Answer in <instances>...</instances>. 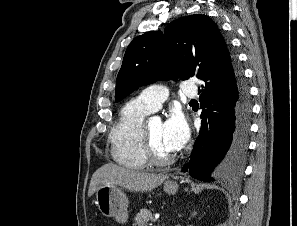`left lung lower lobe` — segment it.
<instances>
[{"instance_id":"left-lung-lower-lobe-1","label":"left lung lower lobe","mask_w":297,"mask_h":226,"mask_svg":"<svg viewBox=\"0 0 297 226\" xmlns=\"http://www.w3.org/2000/svg\"><path fill=\"white\" fill-rule=\"evenodd\" d=\"M234 68V74L201 85V128L191 159L183 167V172L201 181H213L210 174L220 162L227 183L237 182L243 173L252 108L236 59Z\"/></svg>"}]
</instances>
